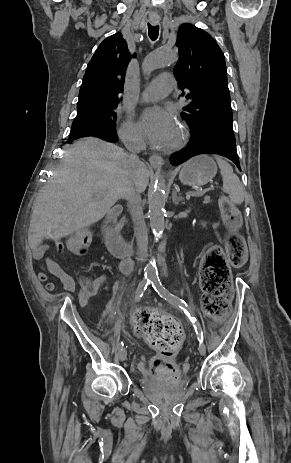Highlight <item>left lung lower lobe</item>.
<instances>
[{"instance_id":"left-lung-lower-lobe-1","label":"left lung lower lobe","mask_w":291,"mask_h":463,"mask_svg":"<svg viewBox=\"0 0 291 463\" xmlns=\"http://www.w3.org/2000/svg\"><path fill=\"white\" fill-rule=\"evenodd\" d=\"M201 154H216L226 157L241 170L235 141L203 133L192 134L188 146L171 156V164L177 166L191 157Z\"/></svg>"}]
</instances>
